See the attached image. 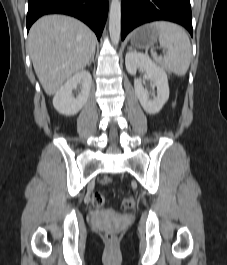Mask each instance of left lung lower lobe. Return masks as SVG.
Segmentation results:
<instances>
[{"instance_id":"0a47b994","label":"left lung lower lobe","mask_w":227,"mask_h":265,"mask_svg":"<svg viewBox=\"0 0 227 265\" xmlns=\"http://www.w3.org/2000/svg\"><path fill=\"white\" fill-rule=\"evenodd\" d=\"M155 20L178 23L193 36L190 0H122V40L135 27Z\"/></svg>"}]
</instances>
